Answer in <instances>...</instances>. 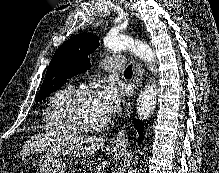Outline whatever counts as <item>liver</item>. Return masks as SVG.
Segmentation results:
<instances>
[{"instance_id": "1", "label": "liver", "mask_w": 219, "mask_h": 173, "mask_svg": "<svg viewBox=\"0 0 219 173\" xmlns=\"http://www.w3.org/2000/svg\"><path fill=\"white\" fill-rule=\"evenodd\" d=\"M105 139L97 136H66L52 138L48 134H37L26 141L22 156L26 157L36 151H54L68 156H90L104 145Z\"/></svg>"}]
</instances>
